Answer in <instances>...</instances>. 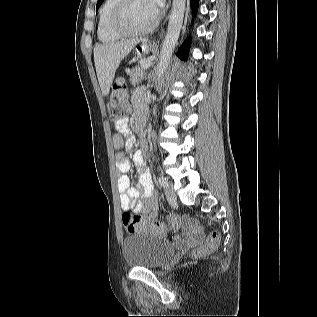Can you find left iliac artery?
Returning a JSON list of instances; mask_svg holds the SVG:
<instances>
[{
    "mask_svg": "<svg viewBox=\"0 0 317 317\" xmlns=\"http://www.w3.org/2000/svg\"><path fill=\"white\" fill-rule=\"evenodd\" d=\"M158 183L162 186L165 187L167 185V180L165 177L163 176H159L158 177Z\"/></svg>",
    "mask_w": 317,
    "mask_h": 317,
    "instance_id": "obj_1",
    "label": "left iliac artery"
}]
</instances>
